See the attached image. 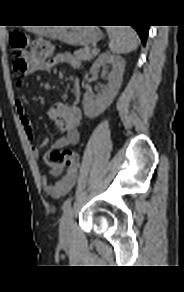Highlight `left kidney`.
<instances>
[{
    "instance_id": "left-kidney-1",
    "label": "left kidney",
    "mask_w": 184,
    "mask_h": 292,
    "mask_svg": "<svg viewBox=\"0 0 184 292\" xmlns=\"http://www.w3.org/2000/svg\"><path fill=\"white\" fill-rule=\"evenodd\" d=\"M106 64L112 66V71L108 75L107 85L98 95L86 91L83 97L84 114L90 119L97 117L111 105L122 84V77L126 65L125 60L110 53L101 54L93 63L90 73L96 76L100 67Z\"/></svg>"
}]
</instances>
